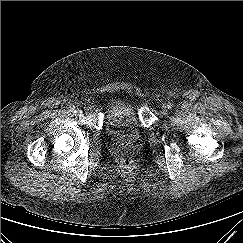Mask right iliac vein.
Wrapping results in <instances>:
<instances>
[{"label": "right iliac vein", "mask_w": 243, "mask_h": 243, "mask_svg": "<svg viewBox=\"0 0 243 243\" xmlns=\"http://www.w3.org/2000/svg\"><path fill=\"white\" fill-rule=\"evenodd\" d=\"M76 116H82L83 115V111L81 109H77L76 111Z\"/></svg>", "instance_id": "obj_1"}]
</instances>
